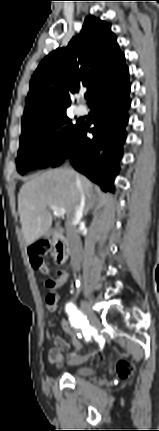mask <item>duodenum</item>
Returning a JSON list of instances; mask_svg holds the SVG:
<instances>
[{
  "mask_svg": "<svg viewBox=\"0 0 159 431\" xmlns=\"http://www.w3.org/2000/svg\"><path fill=\"white\" fill-rule=\"evenodd\" d=\"M55 262L57 264H63L69 256V245L67 240L60 233H55L52 238Z\"/></svg>",
  "mask_w": 159,
  "mask_h": 431,
  "instance_id": "410a0bca",
  "label": "duodenum"
}]
</instances>
